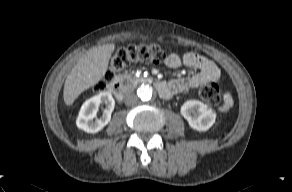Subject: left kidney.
I'll use <instances>...</instances> for the list:
<instances>
[{
	"mask_svg": "<svg viewBox=\"0 0 292 192\" xmlns=\"http://www.w3.org/2000/svg\"><path fill=\"white\" fill-rule=\"evenodd\" d=\"M181 114L189 126L197 131H207L216 119V113L198 100H188L181 106Z\"/></svg>",
	"mask_w": 292,
	"mask_h": 192,
	"instance_id": "obj_1",
	"label": "left kidney"
}]
</instances>
